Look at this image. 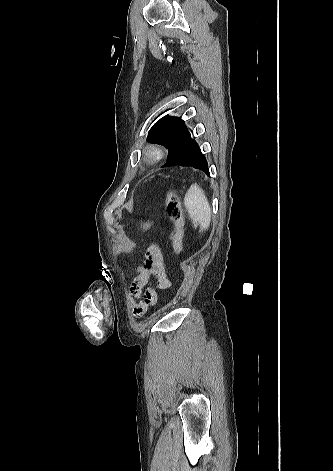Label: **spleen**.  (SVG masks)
I'll use <instances>...</instances> for the list:
<instances>
[{
  "mask_svg": "<svg viewBox=\"0 0 333 471\" xmlns=\"http://www.w3.org/2000/svg\"><path fill=\"white\" fill-rule=\"evenodd\" d=\"M184 205L190 218L200 225V231L207 230L211 222V208L204 191L197 184L190 186L184 198Z\"/></svg>",
  "mask_w": 333,
  "mask_h": 471,
  "instance_id": "1",
  "label": "spleen"
}]
</instances>
